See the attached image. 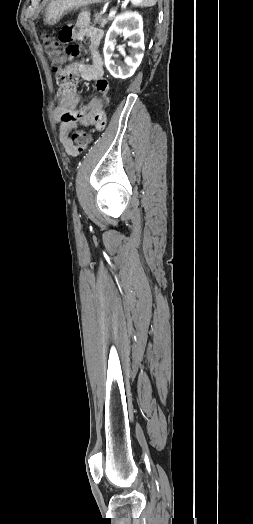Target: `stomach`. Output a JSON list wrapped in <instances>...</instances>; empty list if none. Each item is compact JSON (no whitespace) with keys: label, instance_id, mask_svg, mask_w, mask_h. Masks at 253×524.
I'll list each match as a JSON object with an SVG mask.
<instances>
[{"label":"stomach","instance_id":"obj_1","mask_svg":"<svg viewBox=\"0 0 253 524\" xmlns=\"http://www.w3.org/2000/svg\"><path fill=\"white\" fill-rule=\"evenodd\" d=\"M105 1L107 0H51L44 11V23L53 26L70 11Z\"/></svg>","mask_w":253,"mask_h":524}]
</instances>
